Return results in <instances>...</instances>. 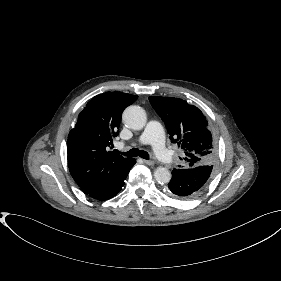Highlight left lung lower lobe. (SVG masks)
Segmentation results:
<instances>
[{
	"label": "left lung lower lobe",
	"mask_w": 281,
	"mask_h": 281,
	"mask_svg": "<svg viewBox=\"0 0 281 281\" xmlns=\"http://www.w3.org/2000/svg\"><path fill=\"white\" fill-rule=\"evenodd\" d=\"M213 166L202 165L194 168L173 169L168 183L171 194L182 199H189L200 193L212 175Z\"/></svg>",
	"instance_id": "0a47b994"
}]
</instances>
